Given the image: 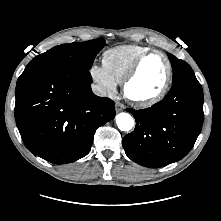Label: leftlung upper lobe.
<instances>
[{
  "label": "left lung upper lobe",
  "instance_id": "5c2ea615",
  "mask_svg": "<svg viewBox=\"0 0 221 221\" xmlns=\"http://www.w3.org/2000/svg\"><path fill=\"white\" fill-rule=\"evenodd\" d=\"M168 58L172 64L173 70L172 85L184 79L195 77L192 68L185 61L177 59L172 54H168Z\"/></svg>",
  "mask_w": 221,
  "mask_h": 221
}]
</instances>
